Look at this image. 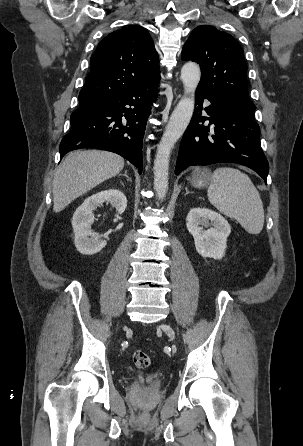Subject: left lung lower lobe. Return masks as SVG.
<instances>
[{"label":"left lung lower lobe","instance_id":"left-lung-lower-lobe-1","mask_svg":"<svg viewBox=\"0 0 303 446\" xmlns=\"http://www.w3.org/2000/svg\"><path fill=\"white\" fill-rule=\"evenodd\" d=\"M204 99L210 104L203 109ZM195 106L181 141L175 174L191 165L238 163L253 169L266 181L269 165L254 116L233 100L207 89L197 88ZM202 110L207 116H201ZM206 120L210 123L205 127L201 123Z\"/></svg>","mask_w":303,"mask_h":446}]
</instances>
